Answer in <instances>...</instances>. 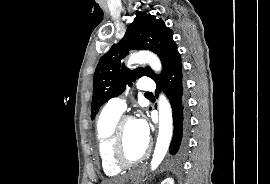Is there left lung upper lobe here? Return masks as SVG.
<instances>
[{"label":"left lung upper lobe","mask_w":270,"mask_h":184,"mask_svg":"<svg viewBox=\"0 0 270 184\" xmlns=\"http://www.w3.org/2000/svg\"><path fill=\"white\" fill-rule=\"evenodd\" d=\"M131 49H147L157 54L162 62V73L178 52L173 31L166 27L162 19L145 12H137L123 39L100 58L96 67L93 77L92 119L102 104L117 97L126 85L130 86L137 78L148 76L154 81L159 78L149 67L130 71L121 64V60Z\"/></svg>","instance_id":"5c2ea615"}]
</instances>
